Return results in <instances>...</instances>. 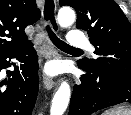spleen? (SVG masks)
Returning <instances> with one entry per match:
<instances>
[{"label": "spleen", "mask_w": 131, "mask_h": 115, "mask_svg": "<svg viewBox=\"0 0 131 115\" xmlns=\"http://www.w3.org/2000/svg\"><path fill=\"white\" fill-rule=\"evenodd\" d=\"M102 115H131V110L114 108L111 110H106Z\"/></svg>", "instance_id": "spleen-1"}]
</instances>
